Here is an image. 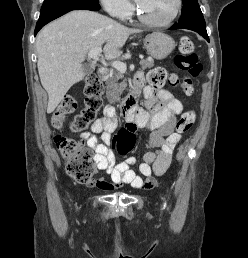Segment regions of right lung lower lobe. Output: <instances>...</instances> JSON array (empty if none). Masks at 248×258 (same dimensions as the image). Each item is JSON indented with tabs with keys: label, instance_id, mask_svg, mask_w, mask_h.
Returning a JSON list of instances; mask_svg holds the SVG:
<instances>
[{
	"label": "right lung lower lobe",
	"instance_id": "1",
	"mask_svg": "<svg viewBox=\"0 0 248 258\" xmlns=\"http://www.w3.org/2000/svg\"><path fill=\"white\" fill-rule=\"evenodd\" d=\"M100 9L99 3H92V2H80L72 5H68L65 7L57 8L54 10H51L49 12H46L44 14H41L39 17V20L36 24L35 28V35L38 33V31L47 23L50 21L64 15L65 13L72 11V10H92V11H98Z\"/></svg>",
	"mask_w": 248,
	"mask_h": 258
}]
</instances>
